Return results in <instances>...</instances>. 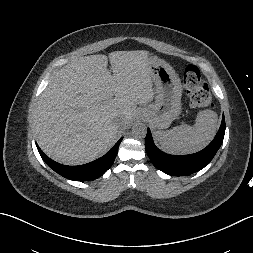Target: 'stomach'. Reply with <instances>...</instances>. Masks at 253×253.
<instances>
[{"instance_id":"stomach-1","label":"stomach","mask_w":253,"mask_h":253,"mask_svg":"<svg viewBox=\"0 0 253 253\" xmlns=\"http://www.w3.org/2000/svg\"><path fill=\"white\" fill-rule=\"evenodd\" d=\"M151 78L156 86V101L143 111L152 125L166 129L181 111L182 85L175 70L166 61L150 57Z\"/></svg>"}]
</instances>
